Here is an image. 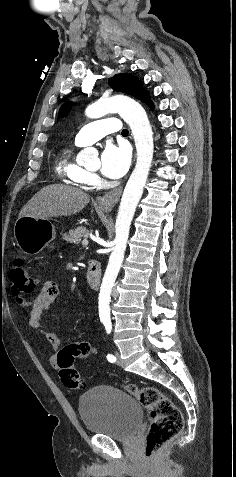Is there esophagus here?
Instances as JSON below:
<instances>
[{
	"label": "esophagus",
	"mask_w": 236,
	"mask_h": 477,
	"mask_svg": "<svg viewBox=\"0 0 236 477\" xmlns=\"http://www.w3.org/2000/svg\"><path fill=\"white\" fill-rule=\"evenodd\" d=\"M122 192V187L115 188L114 190L99 197L97 202L99 206L106 210H111L119 201Z\"/></svg>",
	"instance_id": "esophagus-1"
}]
</instances>
